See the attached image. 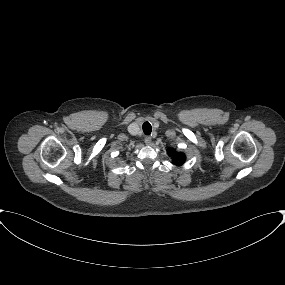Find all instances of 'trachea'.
Segmentation results:
<instances>
[{
	"instance_id": "3493384b",
	"label": "trachea",
	"mask_w": 285,
	"mask_h": 285,
	"mask_svg": "<svg viewBox=\"0 0 285 285\" xmlns=\"http://www.w3.org/2000/svg\"><path fill=\"white\" fill-rule=\"evenodd\" d=\"M142 128H143L144 134L146 135H149L152 131V126L149 122H144Z\"/></svg>"
}]
</instances>
